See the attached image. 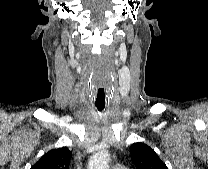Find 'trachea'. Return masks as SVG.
<instances>
[{"instance_id": "3493384b", "label": "trachea", "mask_w": 208, "mask_h": 169, "mask_svg": "<svg viewBox=\"0 0 208 169\" xmlns=\"http://www.w3.org/2000/svg\"><path fill=\"white\" fill-rule=\"evenodd\" d=\"M96 108H97L99 111H102V110L105 108V105H104V106H98V105H96Z\"/></svg>"}]
</instances>
